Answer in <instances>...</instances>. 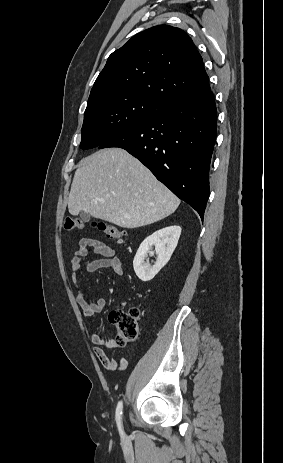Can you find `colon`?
<instances>
[{"mask_svg": "<svg viewBox=\"0 0 283 463\" xmlns=\"http://www.w3.org/2000/svg\"><path fill=\"white\" fill-rule=\"evenodd\" d=\"M92 225L102 232L108 239L120 242L124 233L118 227L102 221H93ZM85 222L79 218L68 217L65 220L64 228L67 231L82 230ZM140 310L137 307L114 310L110 314V319L116 327L117 343L127 345L135 342L139 337L138 319Z\"/></svg>", "mask_w": 283, "mask_h": 463, "instance_id": "1", "label": "colon"}]
</instances>
